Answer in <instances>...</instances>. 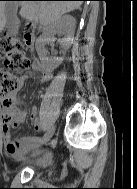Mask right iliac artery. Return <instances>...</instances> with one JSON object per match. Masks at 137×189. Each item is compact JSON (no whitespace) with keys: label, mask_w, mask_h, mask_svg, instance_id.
<instances>
[{"label":"right iliac artery","mask_w":137,"mask_h":189,"mask_svg":"<svg viewBox=\"0 0 137 189\" xmlns=\"http://www.w3.org/2000/svg\"><path fill=\"white\" fill-rule=\"evenodd\" d=\"M42 130H44V133H48L47 125H44V127H42ZM42 137H44V134H41V136L39 137H34V141H39L40 139H42Z\"/></svg>","instance_id":"obj_1"}]
</instances>
